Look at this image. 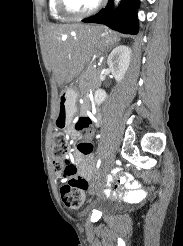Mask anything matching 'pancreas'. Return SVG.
Instances as JSON below:
<instances>
[{
	"label": "pancreas",
	"mask_w": 183,
	"mask_h": 246,
	"mask_svg": "<svg viewBox=\"0 0 183 246\" xmlns=\"http://www.w3.org/2000/svg\"><path fill=\"white\" fill-rule=\"evenodd\" d=\"M90 72H91L92 74H94V73H96V72H97V70H95V69L91 68Z\"/></svg>",
	"instance_id": "obj_1"
}]
</instances>
